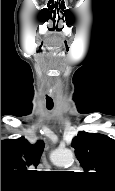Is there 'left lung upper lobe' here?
<instances>
[{
	"label": "left lung upper lobe",
	"instance_id": "5c2ea615",
	"mask_svg": "<svg viewBox=\"0 0 115 191\" xmlns=\"http://www.w3.org/2000/svg\"><path fill=\"white\" fill-rule=\"evenodd\" d=\"M71 145L84 175L96 181L99 187L115 191V140L103 134L80 131Z\"/></svg>",
	"mask_w": 115,
	"mask_h": 191
}]
</instances>
